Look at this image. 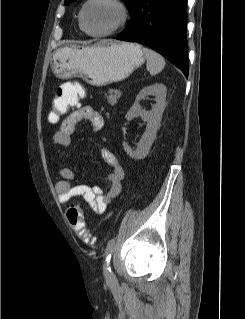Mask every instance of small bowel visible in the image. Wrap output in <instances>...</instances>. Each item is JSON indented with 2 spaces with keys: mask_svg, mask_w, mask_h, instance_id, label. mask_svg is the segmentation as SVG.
Wrapping results in <instances>:
<instances>
[{
  "mask_svg": "<svg viewBox=\"0 0 245 319\" xmlns=\"http://www.w3.org/2000/svg\"><path fill=\"white\" fill-rule=\"evenodd\" d=\"M80 86L76 81H68L63 83L57 90L73 92ZM86 120L90 122L95 131H100L104 127V118L98 110L93 106H83L71 112L60 125V129L55 133L53 142L55 145L69 148L72 143V137L75 134L77 124ZM103 160L110 166L111 172L107 175L110 183L109 188L104 191L98 185L74 184L75 174L72 168L63 167L60 169L61 180L56 183L55 189L58 199L61 203H67L71 199L81 196L85 203L95 213H103L108 204H110L122 190V179L124 177V169L120 164L117 156L108 148L101 150Z\"/></svg>",
  "mask_w": 245,
  "mask_h": 319,
  "instance_id": "small-bowel-1",
  "label": "small bowel"
}]
</instances>
